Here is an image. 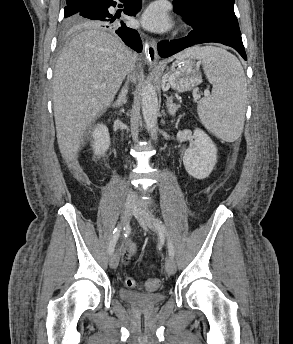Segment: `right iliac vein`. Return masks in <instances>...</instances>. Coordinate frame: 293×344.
<instances>
[{"instance_id":"1","label":"right iliac vein","mask_w":293,"mask_h":344,"mask_svg":"<svg viewBox=\"0 0 293 344\" xmlns=\"http://www.w3.org/2000/svg\"><path fill=\"white\" fill-rule=\"evenodd\" d=\"M136 207V204L134 201H127L124 204L123 211H122V220L123 223L132 215L134 209ZM109 264L112 269L117 268L119 264V254L118 252H114L111 254L109 259Z\"/></svg>"}]
</instances>
